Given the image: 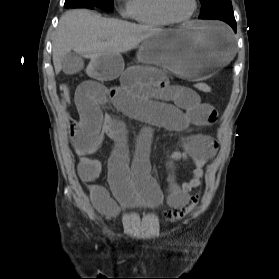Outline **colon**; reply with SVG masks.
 Segmentation results:
<instances>
[{
    "label": "colon",
    "instance_id": "colon-1",
    "mask_svg": "<svg viewBox=\"0 0 279 279\" xmlns=\"http://www.w3.org/2000/svg\"><path fill=\"white\" fill-rule=\"evenodd\" d=\"M194 88L199 93H210L212 88L207 83H197L194 85ZM61 100L65 103L73 100V93L70 86L67 83H61L59 86ZM199 196L198 194L192 196V200L190 205L184 208H175L170 209L166 212V216L171 221H177L184 218L187 214H189L198 202Z\"/></svg>",
    "mask_w": 279,
    "mask_h": 279
}]
</instances>
